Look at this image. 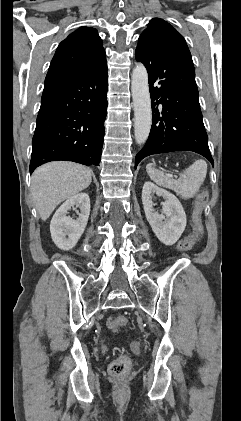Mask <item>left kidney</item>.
Returning <instances> with one entry per match:
<instances>
[{
  "label": "left kidney",
  "instance_id": "obj_1",
  "mask_svg": "<svg viewBox=\"0 0 241 421\" xmlns=\"http://www.w3.org/2000/svg\"><path fill=\"white\" fill-rule=\"evenodd\" d=\"M155 194L165 199L162 214L154 209L152 199ZM142 203L147 221L157 238L165 245L176 243L186 227V214L176 196L147 181L143 185Z\"/></svg>",
  "mask_w": 241,
  "mask_h": 421
}]
</instances>
